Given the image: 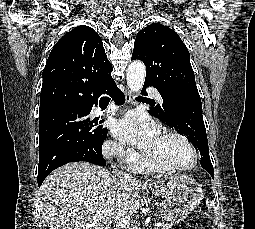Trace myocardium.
<instances>
[{"instance_id":"obj_1","label":"myocardium","mask_w":255,"mask_h":229,"mask_svg":"<svg viewBox=\"0 0 255 229\" xmlns=\"http://www.w3.org/2000/svg\"><path fill=\"white\" fill-rule=\"evenodd\" d=\"M162 136L166 137H174L182 141L191 151L192 154V159L191 161L183 166H168L164 165L160 162L153 161L149 159L145 153L142 155V160L150 167L152 168L155 172L161 171V172H169V173H182L186 172L193 167L196 166L199 160V154L198 151L193 144V142L184 134L177 132V131H165L162 133Z\"/></svg>"}]
</instances>
